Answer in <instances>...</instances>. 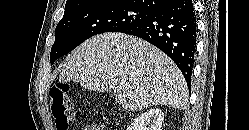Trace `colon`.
<instances>
[{
	"label": "colon",
	"instance_id": "obj_1",
	"mask_svg": "<svg viewBox=\"0 0 249 130\" xmlns=\"http://www.w3.org/2000/svg\"><path fill=\"white\" fill-rule=\"evenodd\" d=\"M52 116L57 130H69L73 121L74 111L67 84H57L49 91Z\"/></svg>",
	"mask_w": 249,
	"mask_h": 130
}]
</instances>
